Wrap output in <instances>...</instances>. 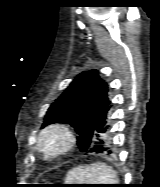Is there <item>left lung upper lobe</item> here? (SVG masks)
Masks as SVG:
<instances>
[{"label":"left lung upper lobe","instance_id":"5c2ea615","mask_svg":"<svg viewBox=\"0 0 160 187\" xmlns=\"http://www.w3.org/2000/svg\"><path fill=\"white\" fill-rule=\"evenodd\" d=\"M107 83L99 78L98 71L79 74L65 92L49 107L44 126L56 122L68 123L75 128L81 151L90 149L84 135H92L105 109L110 104Z\"/></svg>","mask_w":160,"mask_h":187}]
</instances>
